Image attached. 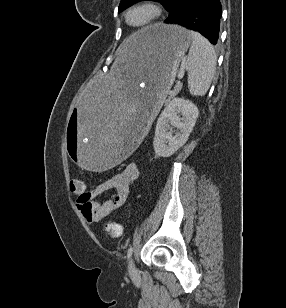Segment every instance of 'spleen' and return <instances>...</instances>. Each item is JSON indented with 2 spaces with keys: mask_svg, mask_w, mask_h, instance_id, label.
<instances>
[{
  "mask_svg": "<svg viewBox=\"0 0 286 308\" xmlns=\"http://www.w3.org/2000/svg\"><path fill=\"white\" fill-rule=\"evenodd\" d=\"M188 32L192 39L185 61L188 88L191 95L204 96L214 77L217 56L213 46L205 37L195 31Z\"/></svg>",
  "mask_w": 286,
  "mask_h": 308,
  "instance_id": "obj_1",
  "label": "spleen"
}]
</instances>
